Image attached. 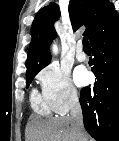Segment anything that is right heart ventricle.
I'll list each match as a JSON object with an SVG mask.
<instances>
[{
	"label": "right heart ventricle",
	"instance_id": "right-heart-ventricle-1",
	"mask_svg": "<svg viewBox=\"0 0 119 141\" xmlns=\"http://www.w3.org/2000/svg\"><path fill=\"white\" fill-rule=\"evenodd\" d=\"M31 104L33 109L44 116H49L52 113V109L45 101L42 95H40L37 91H33L31 94Z\"/></svg>",
	"mask_w": 119,
	"mask_h": 141
}]
</instances>
